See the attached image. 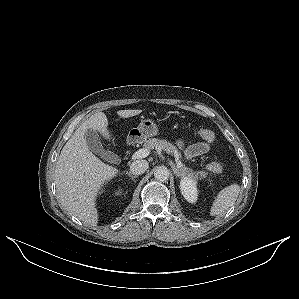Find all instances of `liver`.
Segmentation results:
<instances>
[{
  "label": "liver",
  "mask_w": 299,
  "mask_h": 299,
  "mask_svg": "<svg viewBox=\"0 0 299 299\" xmlns=\"http://www.w3.org/2000/svg\"><path fill=\"white\" fill-rule=\"evenodd\" d=\"M141 112L139 109L119 110L117 115L129 118ZM88 129L98 130L105 139H111L106 115L103 112L93 114L75 130L63 147L54 176L61 208L84 223L95 226L98 222L97 194L119 171L90 151L85 140Z\"/></svg>",
  "instance_id": "6515ba94"
}]
</instances>
